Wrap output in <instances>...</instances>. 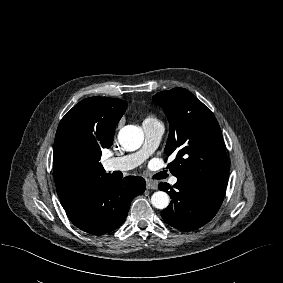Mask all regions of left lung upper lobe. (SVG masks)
I'll use <instances>...</instances> for the list:
<instances>
[{"instance_id": "obj_1", "label": "left lung upper lobe", "mask_w": 283, "mask_h": 283, "mask_svg": "<svg viewBox=\"0 0 283 283\" xmlns=\"http://www.w3.org/2000/svg\"><path fill=\"white\" fill-rule=\"evenodd\" d=\"M169 119L170 134L165 147L168 164L177 178L225 191L228 162L220 126L214 114L190 91L173 88L153 96Z\"/></svg>"}]
</instances>
